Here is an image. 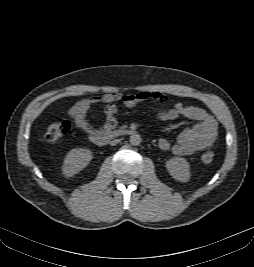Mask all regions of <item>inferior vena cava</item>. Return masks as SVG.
<instances>
[{
    "mask_svg": "<svg viewBox=\"0 0 254 267\" xmlns=\"http://www.w3.org/2000/svg\"><path fill=\"white\" fill-rule=\"evenodd\" d=\"M118 142H119V140L118 139H115V140L111 141L110 144L111 145H116Z\"/></svg>",
    "mask_w": 254,
    "mask_h": 267,
    "instance_id": "602c4592",
    "label": "inferior vena cava"
}]
</instances>
